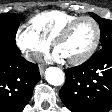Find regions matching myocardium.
Segmentation results:
<instances>
[{"label": "myocardium", "mask_w": 112, "mask_h": 112, "mask_svg": "<svg viewBox=\"0 0 112 112\" xmlns=\"http://www.w3.org/2000/svg\"><path fill=\"white\" fill-rule=\"evenodd\" d=\"M83 20H88L93 24L94 29H95V37H94V40H93L91 46L89 47V49L81 57H79L77 59H73V60H68V63L71 65L83 64L86 61H88L92 57V55L95 53L96 49L99 46L100 39H101V27H100L98 21L95 18L88 16V15L79 16L76 19L69 22L66 26H64L51 41V47L53 50H55L56 46L61 41L65 40L69 36V34L73 30V28L79 22H81Z\"/></svg>", "instance_id": "obj_1"}]
</instances>
